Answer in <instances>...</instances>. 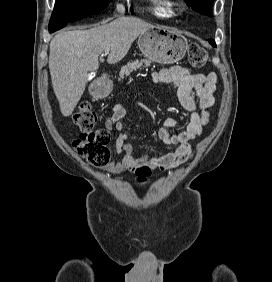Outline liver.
<instances>
[{
    "label": "liver",
    "instance_id": "1",
    "mask_svg": "<svg viewBox=\"0 0 272 282\" xmlns=\"http://www.w3.org/2000/svg\"><path fill=\"white\" fill-rule=\"evenodd\" d=\"M153 27L136 17H119L88 30L57 33L50 43L49 70L62 115L72 114L85 91L88 73L99 68L98 58L106 48H110L108 62L117 63L135 39Z\"/></svg>",
    "mask_w": 272,
    "mask_h": 282
}]
</instances>
